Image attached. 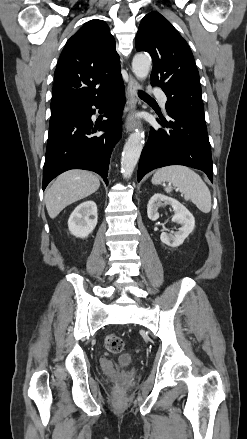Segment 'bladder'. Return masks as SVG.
Returning a JSON list of instances; mask_svg holds the SVG:
<instances>
[{
	"label": "bladder",
	"instance_id": "obj_1",
	"mask_svg": "<svg viewBox=\"0 0 247 439\" xmlns=\"http://www.w3.org/2000/svg\"><path fill=\"white\" fill-rule=\"evenodd\" d=\"M120 365L128 366L133 362V356L131 354H122L118 359Z\"/></svg>",
	"mask_w": 247,
	"mask_h": 439
}]
</instances>
